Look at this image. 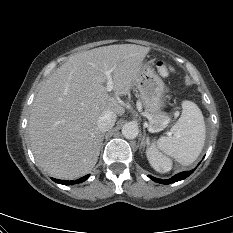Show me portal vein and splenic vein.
Listing matches in <instances>:
<instances>
[{
  "label": "portal vein and splenic vein",
  "mask_w": 233,
  "mask_h": 233,
  "mask_svg": "<svg viewBox=\"0 0 233 233\" xmlns=\"http://www.w3.org/2000/svg\"><path fill=\"white\" fill-rule=\"evenodd\" d=\"M107 77V85L105 87L106 91L110 92L113 89V80H112V69L105 71ZM149 132H158L159 129H153L152 127L148 128Z\"/></svg>",
  "instance_id": "obj_1"
}]
</instances>
